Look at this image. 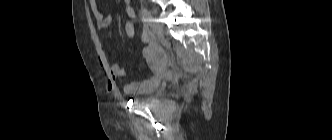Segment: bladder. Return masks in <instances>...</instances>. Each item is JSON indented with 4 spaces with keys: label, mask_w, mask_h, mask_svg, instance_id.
Segmentation results:
<instances>
[{
    "label": "bladder",
    "mask_w": 332,
    "mask_h": 140,
    "mask_svg": "<svg viewBox=\"0 0 332 140\" xmlns=\"http://www.w3.org/2000/svg\"><path fill=\"white\" fill-rule=\"evenodd\" d=\"M148 81H149L148 87L134 98L136 101L148 102L158 93L161 85V80L159 78H154Z\"/></svg>",
    "instance_id": "bladder-1"
}]
</instances>
